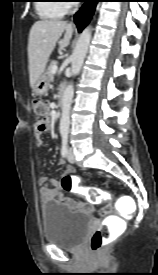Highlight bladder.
Instances as JSON below:
<instances>
[{
  "instance_id": "obj_1",
  "label": "bladder",
  "mask_w": 158,
  "mask_h": 275,
  "mask_svg": "<svg viewBox=\"0 0 158 275\" xmlns=\"http://www.w3.org/2000/svg\"><path fill=\"white\" fill-rule=\"evenodd\" d=\"M43 237L62 249H76L85 237L91 219L84 212L52 202L42 208Z\"/></svg>"
}]
</instances>
